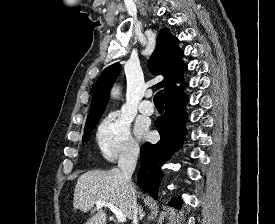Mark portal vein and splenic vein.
Returning a JSON list of instances; mask_svg holds the SVG:
<instances>
[{
    "instance_id": "1",
    "label": "portal vein and splenic vein",
    "mask_w": 275,
    "mask_h": 224,
    "mask_svg": "<svg viewBox=\"0 0 275 224\" xmlns=\"http://www.w3.org/2000/svg\"><path fill=\"white\" fill-rule=\"evenodd\" d=\"M95 204L97 208L108 207L114 213L119 223H124L126 221L125 215L112 203L99 200V201H96Z\"/></svg>"
}]
</instances>
